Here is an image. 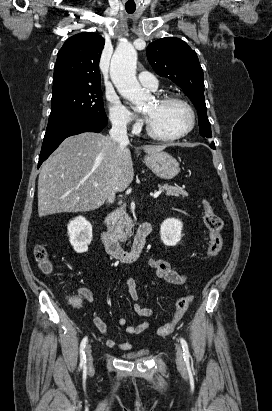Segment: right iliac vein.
Masks as SVG:
<instances>
[{
	"mask_svg": "<svg viewBox=\"0 0 272 411\" xmlns=\"http://www.w3.org/2000/svg\"><path fill=\"white\" fill-rule=\"evenodd\" d=\"M86 361H87L88 369H91L92 366H93V357H92L91 345H88L86 347Z\"/></svg>",
	"mask_w": 272,
	"mask_h": 411,
	"instance_id": "obj_1",
	"label": "right iliac vein"
}]
</instances>
